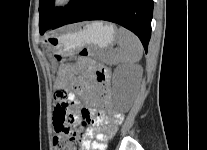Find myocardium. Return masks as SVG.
I'll return each instance as SVG.
<instances>
[{"mask_svg":"<svg viewBox=\"0 0 207 150\" xmlns=\"http://www.w3.org/2000/svg\"><path fill=\"white\" fill-rule=\"evenodd\" d=\"M74 0H52L51 6L53 9H63L73 3Z\"/></svg>","mask_w":207,"mask_h":150,"instance_id":"f54148a6","label":"myocardium"}]
</instances>
